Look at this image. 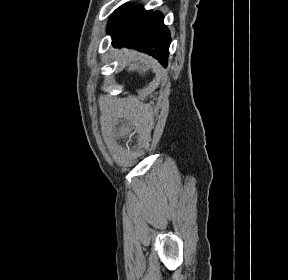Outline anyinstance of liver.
<instances>
[{"label": "liver", "mask_w": 288, "mask_h": 280, "mask_svg": "<svg viewBox=\"0 0 288 280\" xmlns=\"http://www.w3.org/2000/svg\"><path fill=\"white\" fill-rule=\"evenodd\" d=\"M140 70V73H142V69H141V66H139L137 63L133 62L129 65L128 67V71H134V70ZM143 70L145 71V69L143 68Z\"/></svg>", "instance_id": "6515ba94"}]
</instances>
